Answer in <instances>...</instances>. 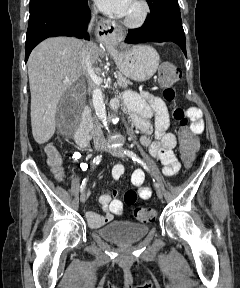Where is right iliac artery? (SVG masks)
Wrapping results in <instances>:
<instances>
[{"instance_id": "obj_1", "label": "right iliac artery", "mask_w": 240, "mask_h": 288, "mask_svg": "<svg viewBox=\"0 0 240 288\" xmlns=\"http://www.w3.org/2000/svg\"><path fill=\"white\" fill-rule=\"evenodd\" d=\"M101 160H102V156L101 155L96 156L94 158L93 162H92L93 166L99 164ZM81 167H82V170H86L88 166L86 164H82ZM86 183H87V178H85L82 181V184L80 186V191L81 192L85 189Z\"/></svg>"}]
</instances>
